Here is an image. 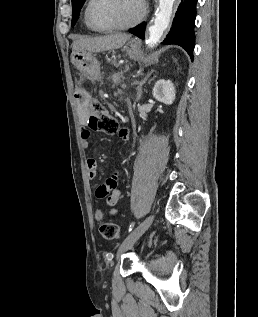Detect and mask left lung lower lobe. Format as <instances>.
<instances>
[{"mask_svg": "<svg viewBox=\"0 0 258 317\" xmlns=\"http://www.w3.org/2000/svg\"><path fill=\"white\" fill-rule=\"evenodd\" d=\"M198 0H183L176 12L172 28L165 40L164 45L177 44L183 47L193 60L194 49V23L196 18V4ZM146 23H142L130 30V33L144 39Z\"/></svg>", "mask_w": 258, "mask_h": 317, "instance_id": "0a47b994", "label": "left lung lower lobe"}]
</instances>
